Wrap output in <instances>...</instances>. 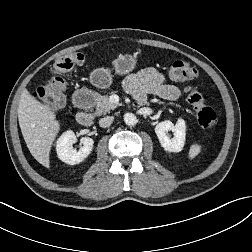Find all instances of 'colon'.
I'll return each mask as SVG.
<instances>
[{"label":"colon","instance_id":"obj_1","mask_svg":"<svg viewBox=\"0 0 252 252\" xmlns=\"http://www.w3.org/2000/svg\"><path fill=\"white\" fill-rule=\"evenodd\" d=\"M85 62L81 53H73L58 59L54 64L56 75L45 85L38 87L33 95L50 108H60L65 102V82L60 74L67 72ZM169 76L180 83L189 82L197 77V70L186 61H175L169 68ZM187 101L192 106L198 123L205 128H210L217 123V113L206 104L204 96L192 85L185 86Z\"/></svg>","mask_w":252,"mask_h":252}]
</instances>
